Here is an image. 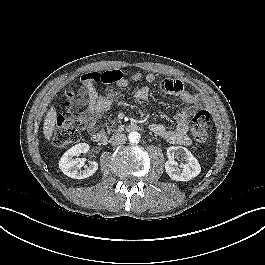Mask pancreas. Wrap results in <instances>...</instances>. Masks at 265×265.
<instances>
[{
    "instance_id": "1",
    "label": "pancreas",
    "mask_w": 265,
    "mask_h": 265,
    "mask_svg": "<svg viewBox=\"0 0 265 265\" xmlns=\"http://www.w3.org/2000/svg\"><path fill=\"white\" fill-rule=\"evenodd\" d=\"M120 122V121H119ZM124 129V125H120L117 129V131H122Z\"/></svg>"
}]
</instances>
